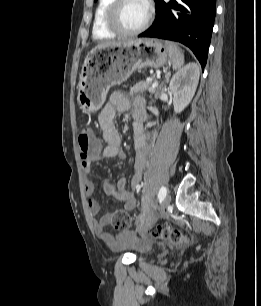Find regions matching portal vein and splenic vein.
Returning <instances> with one entry per match:
<instances>
[{"label":"portal vein and splenic vein","instance_id":"obj_1","mask_svg":"<svg viewBox=\"0 0 261 306\" xmlns=\"http://www.w3.org/2000/svg\"><path fill=\"white\" fill-rule=\"evenodd\" d=\"M148 81H151V80H148ZM157 85V82L155 81L153 84H152V87H155Z\"/></svg>","mask_w":261,"mask_h":306}]
</instances>
